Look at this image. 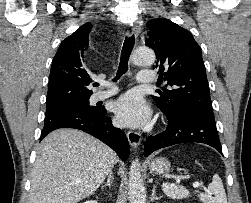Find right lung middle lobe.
I'll use <instances>...</instances> for the list:
<instances>
[{"instance_id":"right-lung-middle-lobe-1","label":"right lung middle lobe","mask_w":251,"mask_h":203,"mask_svg":"<svg viewBox=\"0 0 251 203\" xmlns=\"http://www.w3.org/2000/svg\"><path fill=\"white\" fill-rule=\"evenodd\" d=\"M71 108H80V109H86V110H91V111H96L98 108L94 107V106H90L89 105V99L83 100V101H79L64 107H60V108H54V109H46V115L53 113L55 111L58 110H62V109H71Z\"/></svg>"}]
</instances>
